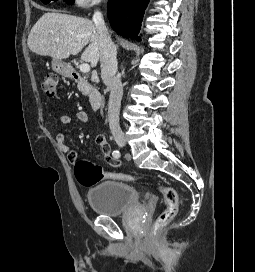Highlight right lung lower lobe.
Wrapping results in <instances>:
<instances>
[{"label":"right lung lower lobe","mask_w":255,"mask_h":272,"mask_svg":"<svg viewBox=\"0 0 255 272\" xmlns=\"http://www.w3.org/2000/svg\"><path fill=\"white\" fill-rule=\"evenodd\" d=\"M148 2L149 0H110L108 18L113 30L123 37L139 40L137 35Z\"/></svg>","instance_id":"obj_1"}]
</instances>
